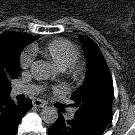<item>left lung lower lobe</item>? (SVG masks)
<instances>
[{
	"label": "left lung lower lobe",
	"mask_w": 135,
	"mask_h": 135,
	"mask_svg": "<svg viewBox=\"0 0 135 135\" xmlns=\"http://www.w3.org/2000/svg\"><path fill=\"white\" fill-rule=\"evenodd\" d=\"M108 123L100 118L77 114L73 119L65 120L59 112L57 121L50 126L48 133L49 135H101Z\"/></svg>",
	"instance_id": "left-lung-lower-lobe-1"
}]
</instances>
